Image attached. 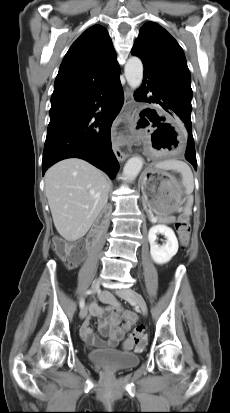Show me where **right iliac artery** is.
I'll list each match as a JSON object with an SVG mask.
<instances>
[{
  "label": "right iliac artery",
  "mask_w": 230,
  "mask_h": 413,
  "mask_svg": "<svg viewBox=\"0 0 230 413\" xmlns=\"http://www.w3.org/2000/svg\"><path fill=\"white\" fill-rule=\"evenodd\" d=\"M91 293H92V291H91V290H88V291L86 292V295H89V294H91ZM84 305H85V300H84V298H82V299L80 300L79 306H80V308H83Z\"/></svg>",
  "instance_id": "obj_1"
}]
</instances>
